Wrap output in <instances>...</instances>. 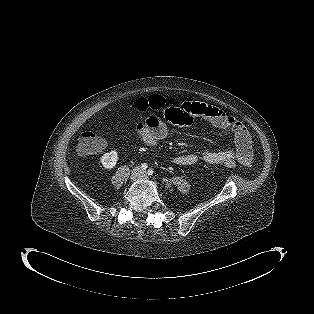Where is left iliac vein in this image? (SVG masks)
Returning a JSON list of instances; mask_svg holds the SVG:
<instances>
[{
	"label": "left iliac vein",
	"instance_id": "left-iliac-vein-1",
	"mask_svg": "<svg viewBox=\"0 0 314 314\" xmlns=\"http://www.w3.org/2000/svg\"><path fill=\"white\" fill-rule=\"evenodd\" d=\"M141 177L146 178V172L145 171L142 172Z\"/></svg>",
	"mask_w": 314,
	"mask_h": 314
}]
</instances>
